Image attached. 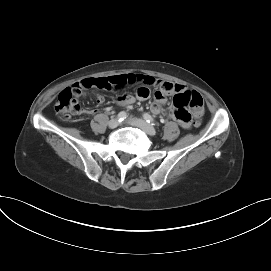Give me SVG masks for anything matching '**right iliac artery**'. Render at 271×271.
<instances>
[{
  "instance_id": "82829eb1",
  "label": "right iliac artery",
  "mask_w": 271,
  "mask_h": 271,
  "mask_svg": "<svg viewBox=\"0 0 271 271\" xmlns=\"http://www.w3.org/2000/svg\"><path fill=\"white\" fill-rule=\"evenodd\" d=\"M126 117H127V113H126L125 111H122V112H120V113L118 114V120H119V121L125 120Z\"/></svg>"
}]
</instances>
